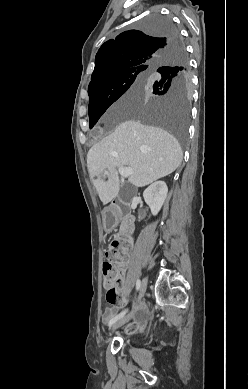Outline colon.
Wrapping results in <instances>:
<instances>
[{
    "label": "colon",
    "instance_id": "obj_1",
    "mask_svg": "<svg viewBox=\"0 0 248 389\" xmlns=\"http://www.w3.org/2000/svg\"><path fill=\"white\" fill-rule=\"evenodd\" d=\"M128 243L124 240H113L106 251V261L103 263L104 289L106 300L110 304H116L119 298V289L122 284L123 273L120 262L127 256ZM135 326H124V333H135Z\"/></svg>",
    "mask_w": 248,
    "mask_h": 389
}]
</instances>
